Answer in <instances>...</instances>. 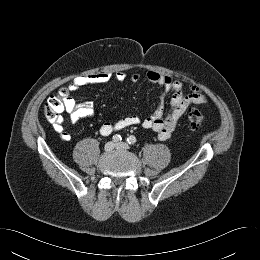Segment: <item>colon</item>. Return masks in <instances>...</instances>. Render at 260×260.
Wrapping results in <instances>:
<instances>
[{"label": "colon", "instance_id": "colon-1", "mask_svg": "<svg viewBox=\"0 0 260 260\" xmlns=\"http://www.w3.org/2000/svg\"><path fill=\"white\" fill-rule=\"evenodd\" d=\"M67 96V92L61 90L57 95L47 99L44 105V115L49 122L61 121L60 114L65 109V99ZM187 120L189 127L196 130L204 124L206 116L199 109L191 108L187 113Z\"/></svg>", "mask_w": 260, "mask_h": 260}]
</instances>
